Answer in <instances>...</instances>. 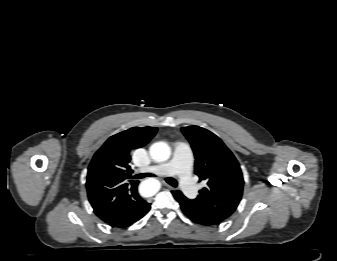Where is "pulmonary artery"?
I'll use <instances>...</instances> for the list:
<instances>
[{
    "mask_svg": "<svg viewBox=\"0 0 337 261\" xmlns=\"http://www.w3.org/2000/svg\"><path fill=\"white\" fill-rule=\"evenodd\" d=\"M192 161L191 147L187 143L178 142L168 163L153 166L148 171L160 176H178L184 194L193 198L197 194V188L191 178Z\"/></svg>",
    "mask_w": 337,
    "mask_h": 261,
    "instance_id": "obj_1",
    "label": "pulmonary artery"
}]
</instances>
